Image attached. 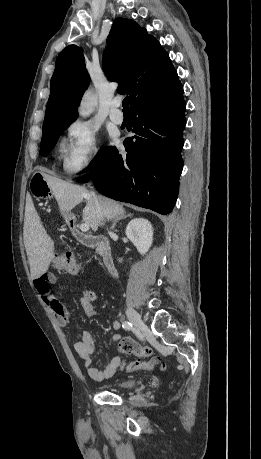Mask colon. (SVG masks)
Masks as SVG:
<instances>
[{
  "mask_svg": "<svg viewBox=\"0 0 261 459\" xmlns=\"http://www.w3.org/2000/svg\"><path fill=\"white\" fill-rule=\"evenodd\" d=\"M53 268L59 272H65L71 275H77L82 270V264L71 253L60 254L53 259ZM86 300L92 303L95 300L93 292L87 293ZM118 349L123 354H132L138 357L131 362H121L120 367L126 372L139 370L152 371L156 368L163 369L164 364L158 359L143 360L152 356L153 351L149 346H142L132 338L125 337L120 340Z\"/></svg>",
  "mask_w": 261,
  "mask_h": 459,
  "instance_id": "obj_1",
  "label": "colon"
}]
</instances>
